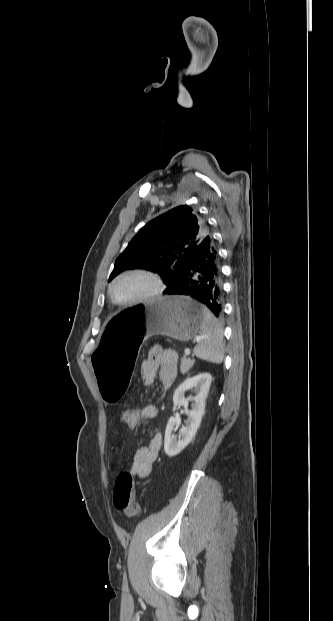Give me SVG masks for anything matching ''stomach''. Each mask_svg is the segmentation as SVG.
<instances>
[{"mask_svg": "<svg viewBox=\"0 0 333 621\" xmlns=\"http://www.w3.org/2000/svg\"><path fill=\"white\" fill-rule=\"evenodd\" d=\"M205 307L184 296H165L111 316L93 354L94 378L107 400L106 408L121 402L133 384L137 354L143 338L164 335L186 342L199 331Z\"/></svg>", "mask_w": 333, "mask_h": 621, "instance_id": "0dacf381", "label": "stomach"}]
</instances>
